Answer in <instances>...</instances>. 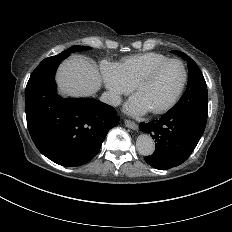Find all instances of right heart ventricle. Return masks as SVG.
<instances>
[{
  "label": "right heart ventricle",
  "mask_w": 232,
  "mask_h": 232,
  "mask_svg": "<svg viewBox=\"0 0 232 232\" xmlns=\"http://www.w3.org/2000/svg\"><path fill=\"white\" fill-rule=\"evenodd\" d=\"M169 57L157 51H142L121 58L118 62L119 75L122 80L132 87L134 82L155 64Z\"/></svg>",
  "instance_id": "1"
}]
</instances>
